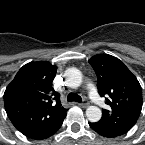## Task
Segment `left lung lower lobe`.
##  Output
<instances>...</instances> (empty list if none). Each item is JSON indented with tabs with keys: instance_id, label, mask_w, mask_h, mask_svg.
Returning a JSON list of instances; mask_svg holds the SVG:
<instances>
[{
	"instance_id": "0a47b994",
	"label": "left lung lower lobe",
	"mask_w": 145,
	"mask_h": 145,
	"mask_svg": "<svg viewBox=\"0 0 145 145\" xmlns=\"http://www.w3.org/2000/svg\"><path fill=\"white\" fill-rule=\"evenodd\" d=\"M90 127L95 131L97 132L99 135L103 136V137H107V138H113V137H116L114 134L108 132V131H105L101 128H99L98 126H96L94 123H89Z\"/></svg>"
}]
</instances>
